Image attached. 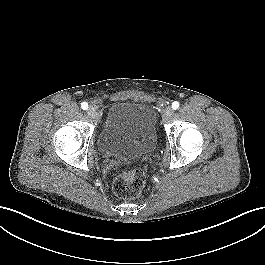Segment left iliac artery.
I'll list each match as a JSON object with an SVG mask.
<instances>
[{"instance_id":"left-iliac-artery-1","label":"left iliac artery","mask_w":265,"mask_h":265,"mask_svg":"<svg viewBox=\"0 0 265 265\" xmlns=\"http://www.w3.org/2000/svg\"><path fill=\"white\" fill-rule=\"evenodd\" d=\"M179 102H177V101H174L173 103H172V108L174 109V110H176V109H178L179 108Z\"/></svg>"}]
</instances>
